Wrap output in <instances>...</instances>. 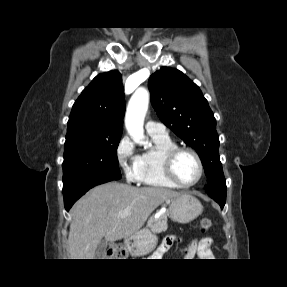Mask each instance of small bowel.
Wrapping results in <instances>:
<instances>
[{"label": "small bowel", "instance_id": "c3829d8e", "mask_svg": "<svg viewBox=\"0 0 287 287\" xmlns=\"http://www.w3.org/2000/svg\"><path fill=\"white\" fill-rule=\"evenodd\" d=\"M178 241H180V238L177 236L171 235L166 237L155 251L154 256H163L169 251L172 245ZM212 243L213 240L211 238H202L200 240H194L190 245L187 257L191 258L197 254L200 258H209L212 255L210 250Z\"/></svg>", "mask_w": 287, "mask_h": 287}]
</instances>
